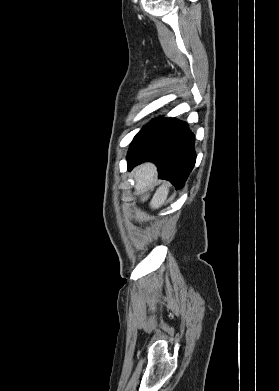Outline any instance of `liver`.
Here are the masks:
<instances>
[{
  "instance_id": "obj_1",
  "label": "liver",
  "mask_w": 279,
  "mask_h": 391,
  "mask_svg": "<svg viewBox=\"0 0 279 391\" xmlns=\"http://www.w3.org/2000/svg\"><path fill=\"white\" fill-rule=\"evenodd\" d=\"M157 170L154 164L144 163L136 167L133 171V176L135 179V190L137 194L142 195V201L148 199V191L153 187V183L156 179ZM169 188L167 184L161 185L155 192L151 202L150 207L152 209H158L161 207L168 196Z\"/></svg>"
}]
</instances>
